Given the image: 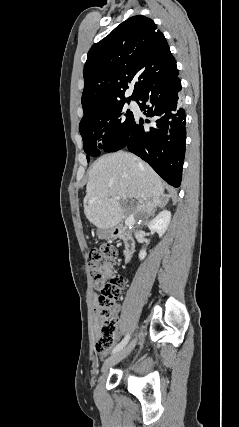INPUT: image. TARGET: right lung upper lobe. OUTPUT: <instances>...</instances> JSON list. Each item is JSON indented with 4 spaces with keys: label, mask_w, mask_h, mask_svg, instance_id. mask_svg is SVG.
Returning <instances> with one entry per match:
<instances>
[{
    "label": "right lung upper lobe",
    "mask_w": 239,
    "mask_h": 427,
    "mask_svg": "<svg viewBox=\"0 0 239 427\" xmlns=\"http://www.w3.org/2000/svg\"><path fill=\"white\" fill-rule=\"evenodd\" d=\"M178 73L168 43L155 23L133 16L95 43L84 66V114L105 102L136 99L146 88ZM134 83L131 97L124 94Z\"/></svg>",
    "instance_id": "right-lung-upper-lobe-1"
}]
</instances>
